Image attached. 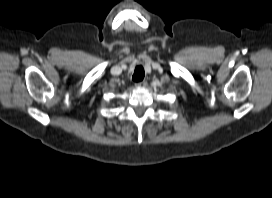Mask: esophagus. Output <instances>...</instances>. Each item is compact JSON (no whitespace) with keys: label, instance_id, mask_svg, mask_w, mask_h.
Listing matches in <instances>:
<instances>
[{"label":"esophagus","instance_id":"34e87169","mask_svg":"<svg viewBox=\"0 0 272 198\" xmlns=\"http://www.w3.org/2000/svg\"><path fill=\"white\" fill-rule=\"evenodd\" d=\"M146 85H147V83H146L145 81H143V82L137 83V84H136V87H137V88H143V87H145Z\"/></svg>","mask_w":272,"mask_h":198}]
</instances>
